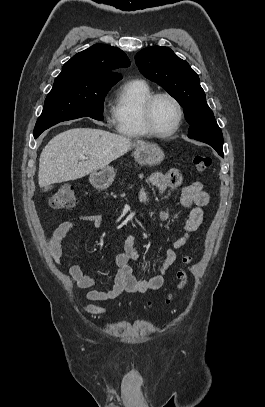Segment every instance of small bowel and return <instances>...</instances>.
I'll return each mask as SVG.
<instances>
[{
  "mask_svg": "<svg viewBox=\"0 0 265 407\" xmlns=\"http://www.w3.org/2000/svg\"><path fill=\"white\" fill-rule=\"evenodd\" d=\"M147 183L153 185L158 192L164 193L168 188L179 187L182 184V176L176 169H171L166 173L154 172L147 177ZM139 199L143 204L147 203V195L142 188ZM182 206L190 208L183 227V235L172 243V248L165 252L162 265L157 274L147 280L138 279L130 266L131 261L139 260L137 239L133 235H128L123 239L122 251L116 256L115 264L117 272L113 286L110 289L98 288V280L83 272L77 264H71L68 268L70 278L80 287L87 290L86 298L92 303L84 305V311L89 315H103L108 311L104 303L111 302L123 292L146 293L160 289L165 281L167 270L174 264L177 258L176 250L184 247L190 236L200 227L204 211L208 205L210 197L203 189L200 181H193L182 188ZM150 215L158 221H166L172 212L165 210L157 214L149 211ZM85 223L93 228H99L102 217L99 214L78 215L63 221L53 232L50 240V253L57 265H61L63 251L61 242L66 235L74 230L79 224Z\"/></svg>",
  "mask_w": 265,
  "mask_h": 407,
  "instance_id": "1",
  "label": "small bowel"
}]
</instances>
